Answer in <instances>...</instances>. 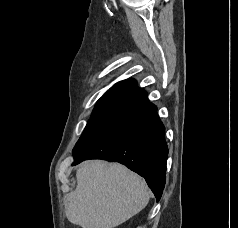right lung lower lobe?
<instances>
[{
	"label": "right lung lower lobe",
	"instance_id": "1",
	"mask_svg": "<svg viewBox=\"0 0 238 228\" xmlns=\"http://www.w3.org/2000/svg\"><path fill=\"white\" fill-rule=\"evenodd\" d=\"M164 131L156 106L147 103L114 120L73 152V165L87 159L122 163L145 178L159 201L168 157Z\"/></svg>",
	"mask_w": 238,
	"mask_h": 228
}]
</instances>
